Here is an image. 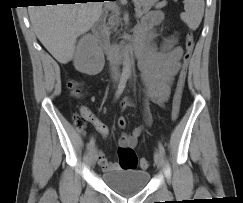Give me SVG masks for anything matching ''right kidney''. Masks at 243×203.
<instances>
[{"label":"right kidney","instance_id":"ca27d5eb","mask_svg":"<svg viewBox=\"0 0 243 203\" xmlns=\"http://www.w3.org/2000/svg\"><path fill=\"white\" fill-rule=\"evenodd\" d=\"M104 55L91 34L84 35L74 53L75 69L88 75L100 73L104 67Z\"/></svg>","mask_w":243,"mask_h":203}]
</instances>
